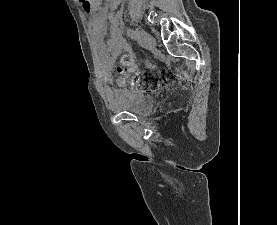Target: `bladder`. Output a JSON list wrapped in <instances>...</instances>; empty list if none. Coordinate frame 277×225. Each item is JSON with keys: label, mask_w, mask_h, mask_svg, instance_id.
I'll use <instances>...</instances> for the list:
<instances>
[{"label": "bladder", "mask_w": 277, "mask_h": 225, "mask_svg": "<svg viewBox=\"0 0 277 225\" xmlns=\"http://www.w3.org/2000/svg\"><path fill=\"white\" fill-rule=\"evenodd\" d=\"M114 112H129L137 116L147 115L153 108L152 97L135 89H126L113 103Z\"/></svg>", "instance_id": "obj_1"}]
</instances>
